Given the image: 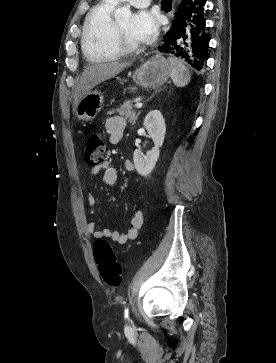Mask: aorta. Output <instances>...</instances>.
<instances>
[{"label":"aorta","mask_w":276,"mask_h":363,"mask_svg":"<svg viewBox=\"0 0 276 363\" xmlns=\"http://www.w3.org/2000/svg\"><path fill=\"white\" fill-rule=\"evenodd\" d=\"M131 15L132 13L129 6H123L118 8L114 14L116 20H127L131 17Z\"/></svg>","instance_id":"aorta-1"}]
</instances>
